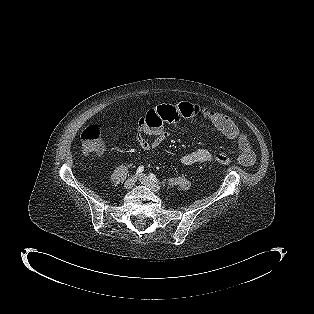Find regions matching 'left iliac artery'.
Segmentation results:
<instances>
[{
  "label": "left iliac artery",
  "mask_w": 314,
  "mask_h": 314,
  "mask_svg": "<svg viewBox=\"0 0 314 314\" xmlns=\"http://www.w3.org/2000/svg\"><path fill=\"white\" fill-rule=\"evenodd\" d=\"M150 180H152L155 183H159V180L156 178V176L153 173L149 174Z\"/></svg>",
  "instance_id": "44dca946"
}]
</instances>
